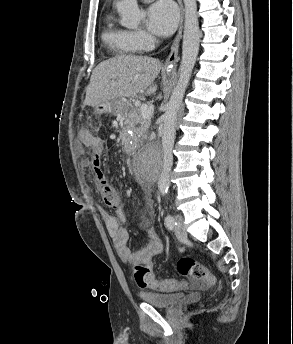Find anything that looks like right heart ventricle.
<instances>
[{"instance_id":"right-heart-ventricle-1","label":"right heart ventricle","mask_w":293,"mask_h":344,"mask_svg":"<svg viewBox=\"0 0 293 344\" xmlns=\"http://www.w3.org/2000/svg\"><path fill=\"white\" fill-rule=\"evenodd\" d=\"M102 39L118 55L133 56L141 51L134 45L130 31L116 25L111 14L105 18Z\"/></svg>"}]
</instances>
